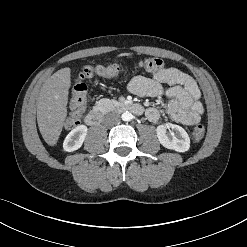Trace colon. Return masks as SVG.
I'll use <instances>...</instances> for the list:
<instances>
[{"instance_id":"obj_1","label":"colon","mask_w":247,"mask_h":247,"mask_svg":"<svg viewBox=\"0 0 247 247\" xmlns=\"http://www.w3.org/2000/svg\"><path fill=\"white\" fill-rule=\"evenodd\" d=\"M135 67L149 73H158L164 70V62L160 58L150 57L137 61ZM122 72V68L117 64L111 65H87L79 73L72 88V98L70 102V114L66 121L67 128H73L80 122L87 104V86L85 80L94 75L103 77H116ZM205 129L203 125H197L191 133L194 142H200L204 137Z\"/></svg>"}]
</instances>
